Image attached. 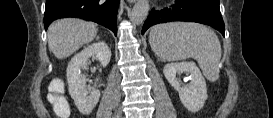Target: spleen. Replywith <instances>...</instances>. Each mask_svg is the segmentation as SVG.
Segmentation results:
<instances>
[{"instance_id":"3e777b00","label":"spleen","mask_w":273,"mask_h":118,"mask_svg":"<svg viewBox=\"0 0 273 118\" xmlns=\"http://www.w3.org/2000/svg\"><path fill=\"white\" fill-rule=\"evenodd\" d=\"M152 50L163 61L197 60L209 81L219 78L221 45L210 29L195 23H168L152 27L149 36Z\"/></svg>"}]
</instances>
